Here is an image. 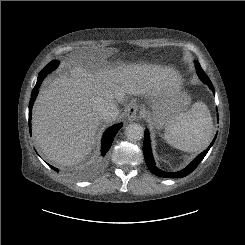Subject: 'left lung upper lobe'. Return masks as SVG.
I'll use <instances>...</instances> for the list:
<instances>
[{"label": "left lung upper lobe", "instance_id": "obj_1", "mask_svg": "<svg viewBox=\"0 0 245 245\" xmlns=\"http://www.w3.org/2000/svg\"><path fill=\"white\" fill-rule=\"evenodd\" d=\"M195 65H196L197 73H198V75H199L200 77H202L203 75H206V74L204 73V71L202 70V68H201V66H200V64H199L198 61H195Z\"/></svg>", "mask_w": 245, "mask_h": 245}]
</instances>
